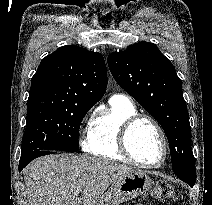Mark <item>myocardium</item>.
I'll return each instance as SVG.
<instances>
[{
  "label": "myocardium",
  "mask_w": 212,
  "mask_h": 205,
  "mask_svg": "<svg viewBox=\"0 0 212 205\" xmlns=\"http://www.w3.org/2000/svg\"><path fill=\"white\" fill-rule=\"evenodd\" d=\"M141 121H148L153 125V127L158 132L162 147H163V155L162 158L157 163H144L139 161L131 152L129 147V136L130 132L133 129V127L141 122ZM118 145L121 153L132 163H134L137 166L144 167V168H157L161 166L168 157V141L165 135V132L161 125L155 120L153 117L145 114H135L131 117H129L121 126L118 136Z\"/></svg>",
  "instance_id": "myocardium-1"
}]
</instances>
